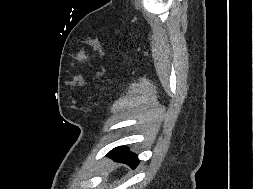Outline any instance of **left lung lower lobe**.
<instances>
[{"label":"left lung lower lobe","instance_id":"0a47b994","mask_svg":"<svg viewBox=\"0 0 253 189\" xmlns=\"http://www.w3.org/2000/svg\"><path fill=\"white\" fill-rule=\"evenodd\" d=\"M108 155L116 161L129 165L131 168H135L139 163L137 155L128 152L125 147H116Z\"/></svg>","mask_w":253,"mask_h":189}]
</instances>
